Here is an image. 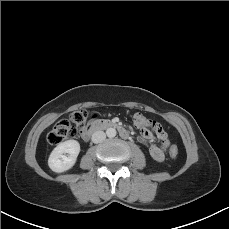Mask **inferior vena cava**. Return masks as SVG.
Wrapping results in <instances>:
<instances>
[{
    "label": "inferior vena cava",
    "instance_id": "602c4592",
    "mask_svg": "<svg viewBox=\"0 0 229 229\" xmlns=\"http://www.w3.org/2000/svg\"><path fill=\"white\" fill-rule=\"evenodd\" d=\"M106 138V134L103 131H96L92 135V142L93 143H100L104 141Z\"/></svg>",
    "mask_w": 229,
    "mask_h": 229
}]
</instances>
